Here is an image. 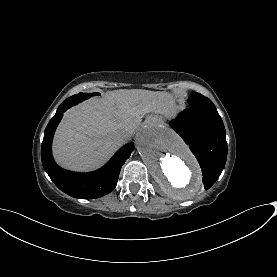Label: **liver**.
<instances>
[{
    "label": "liver",
    "mask_w": 277,
    "mask_h": 277,
    "mask_svg": "<svg viewBox=\"0 0 277 277\" xmlns=\"http://www.w3.org/2000/svg\"><path fill=\"white\" fill-rule=\"evenodd\" d=\"M167 92L108 91L69 109L54 137L55 160L63 168L89 171L105 163L124 144L117 130H133L150 112L174 116Z\"/></svg>",
    "instance_id": "liver-1"
}]
</instances>
